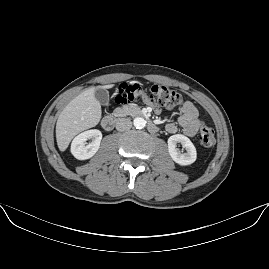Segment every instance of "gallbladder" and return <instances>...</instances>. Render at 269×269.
I'll list each match as a JSON object with an SVG mask.
<instances>
[{
    "instance_id": "1",
    "label": "gallbladder",
    "mask_w": 269,
    "mask_h": 269,
    "mask_svg": "<svg viewBox=\"0 0 269 269\" xmlns=\"http://www.w3.org/2000/svg\"><path fill=\"white\" fill-rule=\"evenodd\" d=\"M95 98L99 101L101 105L109 104V93L105 89H98L95 92Z\"/></svg>"
}]
</instances>
